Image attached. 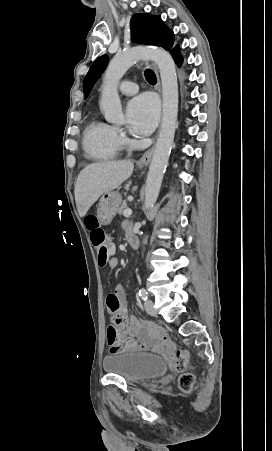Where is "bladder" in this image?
<instances>
[{
    "label": "bladder",
    "instance_id": "bladder-1",
    "mask_svg": "<svg viewBox=\"0 0 272 451\" xmlns=\"http://www.w3.org/2000/svg\"><path fill=\"white\" fill-rule=\"evenodd\" d=\"M168 363L156 354L129 351L109 352L103 360L107 374L117 375L126 382H136L162 376Z\"/></svg>",
    "mask_w": 272,
    "mask_h": 451
}]
</instances>
